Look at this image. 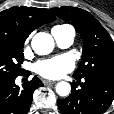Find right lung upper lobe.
I'll list each match as a JSON object with an SVG mask.
<instances>
[{
  "label": "right lung upper lobe",
  "mask_w": 114,
  "mask_h": 114,
  "mask_svg": "<svg viewBox=\"0 0 114 114\" xmlns=\"http://www.w3.org/2000/svg\"><path fill=\"white\" fill-rule=\"evenodd\" d=\"M55 18L49 9L12 7L0 12V36L25 42L33 30Z\"/></svg>",
  "instance_id": "1"
}]
</instances>
